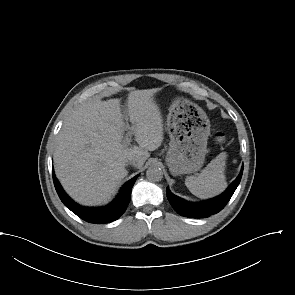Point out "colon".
Segmentation results:
<instances>
[{"label": "colon", "instance_id": "1", "mask_svg": "<svg viewBox=\"0 0 295 295\" xmlns=\"http://www.w3.org/2000/svg\"><path fill=\"white\" fill-rule=\"evenodd\" d=\"M217 138H218L219 140H222V139H223V134L218 133V134H217Z\"/></svg>", "mask_w": 295, "mask_h": 295}]
</instances>
